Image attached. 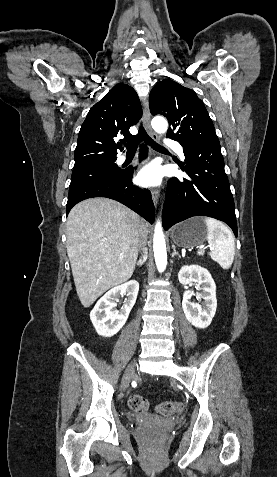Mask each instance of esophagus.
I'll return each instance as SVG.
<instances>
[{"mask_svg": "<svg viewBox=\"0 0 277 477\" xmlns=\"http://www.w3.org/2000/svg\"><path fill=\"white\" fill-rule=\"evenodd\" d=\"M142 106H143V119H144V123H145V127L147 129V132L153 139L157 140L158 137L155 134V132L152 130V127H151V114H150V111H149L148 99L146 97H144L142 99ZM151 194H152V199H153L154 205L157 206L158 201H159V190L158 189H152Z\"/></svg>", "mask_w": 277, "mask_h": 477, "instance_id": "esophagus-1", "label": "esophagus"}]
</instances>
